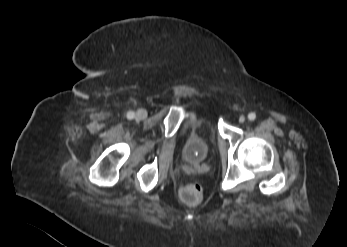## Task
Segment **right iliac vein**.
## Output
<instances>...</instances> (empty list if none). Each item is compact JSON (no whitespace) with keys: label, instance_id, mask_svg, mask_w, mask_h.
Masks as SVG:
<instances>
[{"label":"right iliac vein","instance_id":"1","mask_svg":"<svg viewBox=\"0 0 347 247\" xmlns=\"http://www.w3.org/2000/svg\"><path fill=\"white\" fill-rule=\"evenodd\" d=\"M147 117V111L145 109H139L137 112H136V115H135V118L137 120H143Z\"/></svg>","mask_w":347,"mask_h":247}]
</instances>
